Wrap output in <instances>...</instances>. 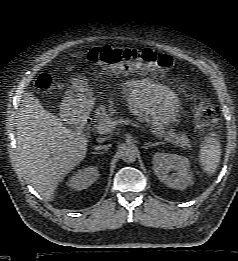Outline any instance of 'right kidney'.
<instances>
[{"label": "right kidney", "instance_id": "obj_1", "mask_svg": "<svg viewBox=\"0 0 238 261\" xmlns=\"http://www.w3.org/2000/svg\"><path fill=\"white\" fill-rule=\"evenodd\" d=\"M99 176L97 167L89 166L75 173L69 180L68 186L74 190H83L91 186Z\"/></svg>", "mask_w": 238, "mask_h": 261}]
</instances>
